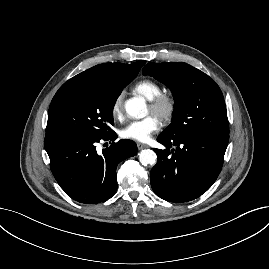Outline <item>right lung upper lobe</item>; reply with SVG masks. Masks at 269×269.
<instances>
[{
	"mask_svg": "<svg viewBox=\"0 0 269 269\" xmlns=\"http://www.w3.org/2000/svg\"><path fill=\"white\" fill-rule=\"evenodd\" d=\"M145 61H137L132 64L123 63H104L96 65L78 75L74 78H131L136 77Z\"/></svg>",
	"mask_w": 269,
	"mask_h": 269,
	"instance_id": "right-lung-upper-lobe-1",
	"label": "right lung upper lobe"
}]
</instances>
